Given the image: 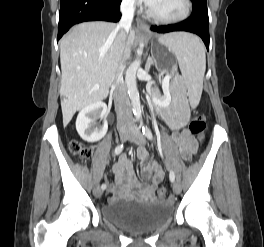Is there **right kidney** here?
I'll return each mask as SVG.
<instances>
[{
	"instance_id": "ca27d5eb",
	"label": "right kidney",
	"mask_w": 264,
	"mask_h": 247,
	"mask_svg": "<svg viewBox=\"0 0 264 247\" xmlns=\"http://www.w3.org/2000/svg\"><path fill=\"white\" fill-rule=\"evenodd\" d=\"M107 113V106L102 102H95L85 106L78 114L76 130L80 137L87 142H97L107 133L108 123L104 119ZM98 119H104L101 126H96Z\"/></svg>"
}]
</instances>
